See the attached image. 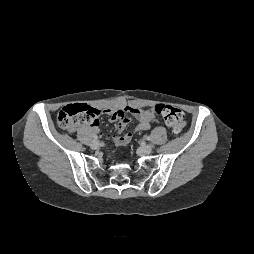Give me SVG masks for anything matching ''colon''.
I'll return each mask as SVG.
<instances>
[{"instance_id":"colon-1","label":"colon","mask_w":254,"mask_h":254,"mask_svg":"<svg viewBox=\"0 0 254 254\" xmlns=\"http://www.w3.org/2000/svg\"><path fill=\"white\" fill-rule=\"evenodd\" d=\"M150 113H155L162 117L166 126L174 133L179 134L185 128V119L183 112L172 105L157 104L148 109ZM97 109L86 104H71L63 107L57 114V124L60 128L73 131L81 124H92L99 118ZM125 138L119 140V144H127Z\"/></svg>"}]
</instances>
